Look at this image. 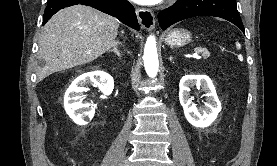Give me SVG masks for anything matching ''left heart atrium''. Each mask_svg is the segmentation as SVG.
I'll return each instance as SVG.
<instances>
[{"label":"left heart atrium","mask_w":277,"mask_h":166,"mask_svg":"<svg viewBox=\"0 0 277 166\" xmlns=\"http://www.w3.org/2000/svg\"><path fill=\"white\" fill-rule=\"evenodd\" d=\"M132 1L143 5H153V4L159 3L161 0H132Z\"/></svg>","instance_id":"left-heart-atrium-1"}]
</instances>
